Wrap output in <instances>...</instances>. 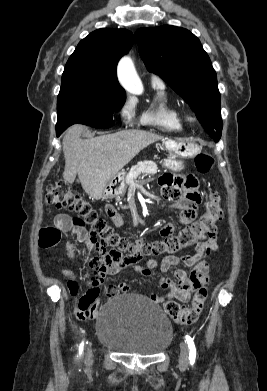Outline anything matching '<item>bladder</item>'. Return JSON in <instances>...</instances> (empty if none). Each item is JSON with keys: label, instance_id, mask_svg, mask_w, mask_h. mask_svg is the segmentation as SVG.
Wrapping results in <instances>:
<instances>
[{"label": "bladder", "instance_id": "31cf9c89", "mask_svg": "<svg viewBox=\"0 0 267 391\" xmlns=\"http://www.w3.org/2000/svg\"><path fill=\"white\" fill-rule=\"evenodd\" d=\"M96 334L101 344L116 352L149 356L170 345L173 327L159 306L138 296L120 295L101 308Z\"/></svg>", "mask_w": 267, "mask_h": 391}]
</instances>
